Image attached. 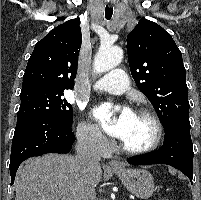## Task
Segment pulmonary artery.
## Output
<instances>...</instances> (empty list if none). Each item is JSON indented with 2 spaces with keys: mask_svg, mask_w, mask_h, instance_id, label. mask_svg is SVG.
<instances>
[{
  "mask_svg": "<svg viewBox=\"0 0 201 200\" xmlns=\"http://www.w3.org/2000/svg\"><path fill=\"white\" fill-rule=\"evenodd\" d=\"M129 88V80L121 69L112 70L103 75L95 85V89L111 94H122Z\"/></svg>",
  "mask_w": 201,
  "mask_h": 200,
  "instance_id": "1",
  "label": "pulmonary artery"
}]
</instances>
